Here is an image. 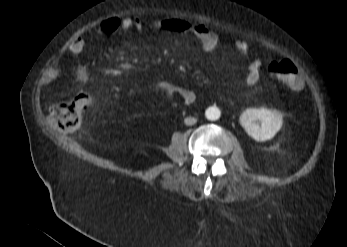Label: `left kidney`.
<instances>
[{"instance_id":"left-kidney-1","label":"left kidney","mask_w":347,"mask_h":247,"mask_svg":"<svg viewBox=\"0 0 347 247\" xmlns=\"http://www.w3.org/2000/svg\"><path fill=\"white\" fill-rule=\"evenodd\" d=\"M240 123L254 140L267 141L281 129L283 119L282 115L273 109L249 108L241 114Z\"/></svg>"}]
</instances>
